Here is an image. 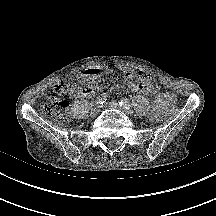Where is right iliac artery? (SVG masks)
Listing matches in <instances>:
<instances>
[{
	"label": "right iliac artery",
	"mask_w": 216,
	"mask_h": 216,
	"mask_svg": "<svg viewBox=\"0 0 216 216\" xmlns=\"http://www.w3.org/2000/svg\"><path fill=\"white\" fill-rule=\"evenodd\" d=\"M106 100H107V96L105 93H103L101 94V96L98 97L97 104L103 105L106 102Z\"/></svg>",
	"instance_id": "right-iliac-artery-1"
}]
</instances>
